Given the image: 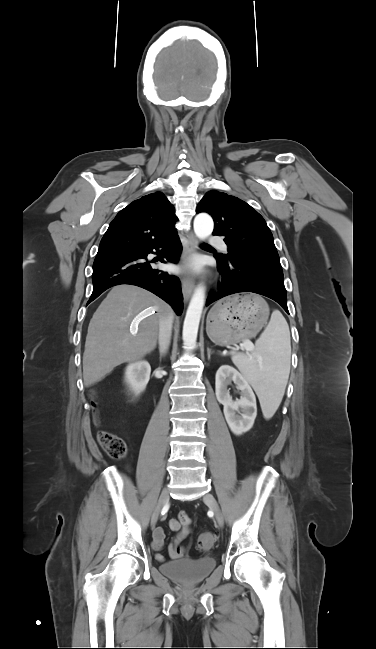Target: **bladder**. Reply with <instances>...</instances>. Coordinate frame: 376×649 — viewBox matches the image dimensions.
I'll return each instance as SVG.
<instances>
[{"label":"bladder","mask_w":376,"mask_h":649,"mask_svg":"<svg viewBox=\"0 0 376 649\" xmlns=\"http://www.w3.org/2000/svg\"><path fill=\"white\" fill-rule=\"evenodd\" d=\"M216 561L211 557L199 559H179L163 562L160 571L171 579L183 584H196L203 581L215 568Z\"/></svg>","instance_id":"31cf9c89"}]
</instances>
